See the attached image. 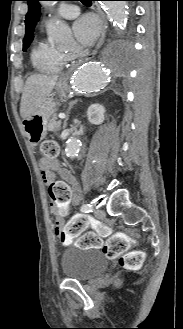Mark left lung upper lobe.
Segmentation results:
<instances>
[{"label": "left lung upper lobe", "instance_id": "1", "mask_svg": "<svg viewBox=\"0 0 183 329\" xmlns=\"http://www.w3.org/2000/svg\"><path fill=\"white\" fill-rule=\"evenodd\" d=\"M28 3V13L25 17V37L23 40V51L29 47L30 43L32 42L34 36L33 32L35 29L36 23L39 21L40 18V4L39 1L41 0H25Z\"/></svg>", "mask_w": 183, "mask_h": 329}]
</instances>
